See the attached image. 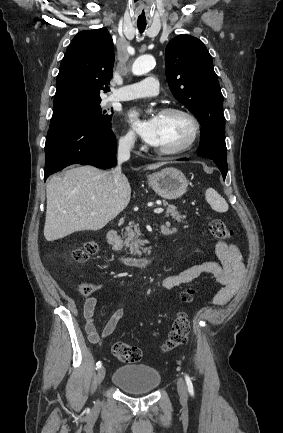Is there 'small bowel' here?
<instances>
[{
	"mask_svg": "<svg viewBox=\"0 0 283 433\" xmlns=\"http://www.w3.org/2000/svg\"><path fill=\"white\" fill-rule=\"evenodd\" d=\"M169 233H175L176 228H168ZM215 254L218 262H204L191 266L177 274L169 275L162 280V287L172 289L183 284L190 283L204 274H209L222 285L210 303L213 305H224L229 302L238 291L244 278L245 267L243 255L237 246L218 242L215 246ZM97 299L89 297L83 305V316L85 319V328L91 343L97 344L103 338L110 336L116 329L119 321L123 318L124 310L116 309L101 332L95 325V307Z\"/></svg>",
	"mask_w": 283,
	"mask_h": 433,
	"instance_id": "obj_1",
	"label": "small bowel"
}]
</instances>
